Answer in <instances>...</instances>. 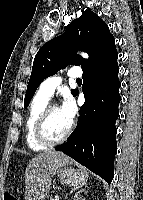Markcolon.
<instances>
[{
	"label": "colon",
	"instance_id": "1",
	"mask_svg": "<svg viewBox=\"0 0 143 200\" xmlns=\"http://www.w3.org/2000/svg\"><path fill=\"white\" fill-rule=\"evenodd\" d=\"M4 200H18V199L13 193L6 192L4 195Z\"/></svg>",
	"mask_w": 143,
	"mask_h": 200
}]
</instances>
